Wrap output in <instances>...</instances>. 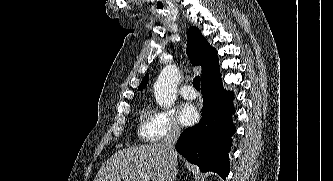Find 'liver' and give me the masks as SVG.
<instances>
[{
  "label": "liver",
  "mask_w": 333,
  "mask_h": 181,
  "mask_svg": "<svg viewBox=\"0 0 333 181\" xmlns=\"http://www.w3.org/2000/svg\"><path fill=\"white\" fill-rule=\"evenodd\" d=\"M168 158L161 143L119 150L100 168L94 181H166Z\"/></svg>",
  "instance_id": "1"
}]
</instances>
